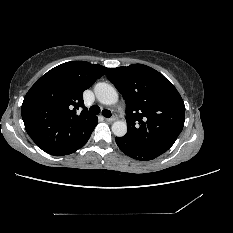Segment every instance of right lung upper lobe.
Here are the masks:
<instances>
[{
	"label": "right lung upper lobe",
	"instance_id": "obj_1",
	"mask_svg": "<svg viewBox=\"0 0 233 233\" xmlns=\"http://www.w3.org/2000/svg\"><path fill=\"white\" fill-rule=\"evenodd\" d=\"M106 70L98 64L71 61L51 69L30 88L21 113L25 129L38 147L57 156L81 140L97 119L84 107L83 91Z\"/></svg>",
	"mask_w": 233,
	"mask_h": 233
}]
</instances>
